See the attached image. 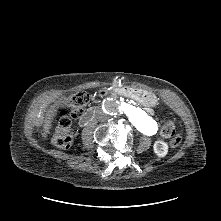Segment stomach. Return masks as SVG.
Masks as SVG:
<instances>
[{"label": "stomach", "instance_id": "stomach-1", "mask_svg": "<svg viewBox=\"0 0 221 221\" xmlns=\"http://www.w3.org/2000/svg\"><path fill=\"white\" fill-rule=\"evenodd\" d=\"M125 92L135 97L137 100L144 102L145 104H147L155 98V96L152 93L142 89L126 88Z\"/></svg>", "mask_w": 221, "mask_h": 221}]
</instances>
